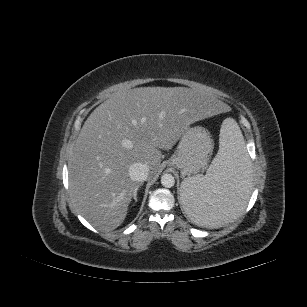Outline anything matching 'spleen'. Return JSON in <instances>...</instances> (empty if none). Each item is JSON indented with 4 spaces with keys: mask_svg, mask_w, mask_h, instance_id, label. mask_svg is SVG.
<instances>
[{
    "mask_svg": "<svg viewBox=\"0 0 307 307\" xmlns=\"http://www.w3.org/2000/svg\"><path fill=\"white\" fill-rule=\"evenodd\" d=\"M251 192L250 158L235 120L223 121L219 151L205 175L185 178L180 196L195 224L217 228L237 218Z\"/></svg>",
    "mask_w": 307,
    "mask_h": 307,
    "instance_id": "1",
    "label": "spleen"
}]
</instances>
